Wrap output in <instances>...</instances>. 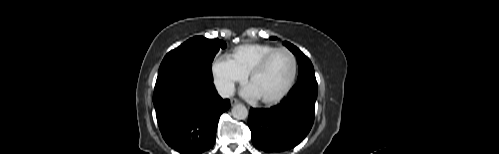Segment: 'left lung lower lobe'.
<instances>
[{
	"label": "left lung lower lobe",
	"mask_w": 499,
	"mask_h": 154,
	"mask_svg": "<svg viewBox=\"0 0 499 154\" xmlns=\"http://www.w3.org/2000/svg\"><path fill=\"white\" fill-rule=\"evenodd\" d=\"M316 98L317 81L304 79L279 105L251 108L248 125L253 145L265 152L287 151L298 145L313 125Z\"/></svg>",
	"instance_id": "1"
}]
</instances>
